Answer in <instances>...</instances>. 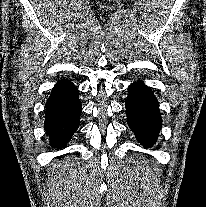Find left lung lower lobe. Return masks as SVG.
<instances>
[{
	"mask_svg": "<svg viewBox=\"0 0 206 207\" xmlns=\"http://www.w3.org/2000/svg\"><path fill=\"white\" fill-rule=\"evenodd\" d=\"M127 121L137 140L145 147L156 142L162 120L156 100L151 89L142 82L129 86L126 99Z\"/></svg>",
	"mask_w": 206,
	"mask_h": 207,
	"instance_id": "left-lung-lower-lobe-1",
	"label": "left lung lower lobe"
}]
</instances>
